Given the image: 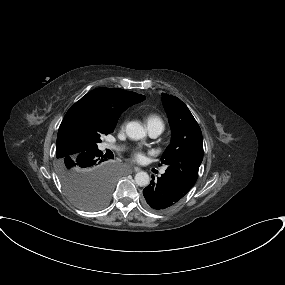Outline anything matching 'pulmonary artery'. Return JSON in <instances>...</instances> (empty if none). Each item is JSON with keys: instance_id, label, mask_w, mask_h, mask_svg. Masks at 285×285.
Returning a JSON list of instances; mask_svg holds the SVG:
<instances>
[{"instance_id": "pulmonary-artery-1", "label": "pulmonary artery", "mask_w": 285, "mask_h": 285, "mask_svg": "<svg viewBox=\"0 0 285 285\" xmlns=\"http://www.w3.org/2000/svg\"><path fill=\"white\" fill-rule=\"evenodd\" d=\"M163 129L160 128V127H149V134L151 137H158L161 133H162ZM105 147L107 148H111V149H114L116 148L115 146L113 145H110V144H105ZM165 171L164 170H161V174H163Z\"/></svg>"}]
</instances>
